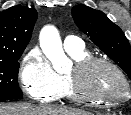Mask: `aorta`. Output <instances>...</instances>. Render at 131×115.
I'll use <instances>...</instances> for the list:
<instances>
[{
    "mask_svg": "<svg viewBox=\"0 0 131 115\" xmlns=\"http://www.w3.org/2000/svg\"><path fill=\"white\" fill-rule=\"evenodd\" d=\"M40 46L43 53L51 61L54 70L63 73L66 70L67 57L62 48L58 30L53 26H45L40 33Z\"/></svg>",
    "mask_w": 131,
    "mask_h": 115,
    "instance_id": "1",
    "label": "aorta"
}]
</instances>
